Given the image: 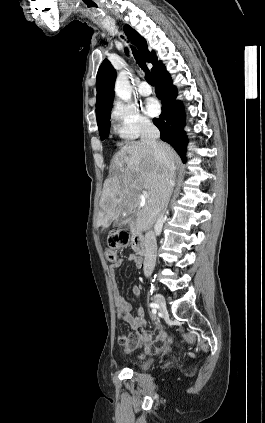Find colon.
Instances as JSON below:
<instances>
[{"mask_svg":"<svg viewBox=\"0 0 265 423\" xmlns=\"http://www.w3.org/2000/svg\"><path fill=\"white\" fill-rule=\"evenodd\" d=\"M130 236L128 232L121 229H114L108 236V247L105 254L109 262L117 260V249L125 247L129 244Z\"/></svg>","mask_w":265,"mask_h":423,"instance_id":"colon-1","label":"colon"}]
</instances>
